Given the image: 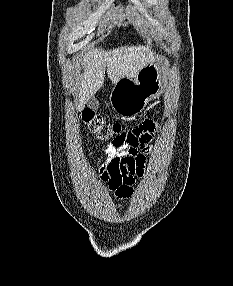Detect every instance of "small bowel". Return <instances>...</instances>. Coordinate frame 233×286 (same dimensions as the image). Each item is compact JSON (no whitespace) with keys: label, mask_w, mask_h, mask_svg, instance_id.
<instances>
[{"label":"small bowel","mask_w":233,"mask_h":286,"mask_svg":"<svg viewBox=\"0 0 233 286\" xmlns=\"http://www.w3.org/2000/svg\"><path fill=\"white\" fill-rule=\"evenodd\" d=\"M158 130L153 122L145 121L138 132L123 135L104 147L106 158L98 164L99 177L117 197L127 198L133 193Z\"/></svg>","instance_id":"1"}]
</instances>
